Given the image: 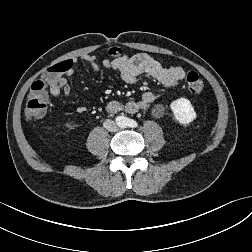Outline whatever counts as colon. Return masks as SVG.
<instances>
[{
    "label": "colon",
    "instance_id": "obj_1",
    "mask_svg": "<svg viewBox=\"0 0 252 252\" xmlns=\"http://www.w3.org/2000/svg\"><path fill=\"white\" fill-rule=\"evenodd\" d=\"M121 51L117 48H112L109 54L112 56L120 55ZM69 68V65L64 61L53 65L43 76L31 85V91L25 103V116L28 120H38L42 118L47 110V88L57 84ZM186 84L190 93L200 94L206 89V83L203 78L195 73L189 72L186 75Z\"/></svg>",
    "mask_w": 252,
    "mask_h": 252
}]
</instances>
